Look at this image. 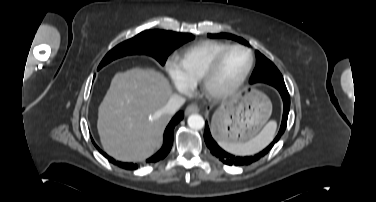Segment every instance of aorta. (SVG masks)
<instances>
[{"instance_id":"aorta-1","label":"aorta","mask_w":376,"mask_h":202,"mask_svg":"<svg viewBox=\"0 0 376 202\" xmlns=\"http://www.w3.org/2000/svg\"><path fill=\"white\" fill-rule=\"evenodd\" d=\"M188 126L194 130H200L204 127L205 121L199 114H192L187 120Z\"/></svg>"}]
</instances>
